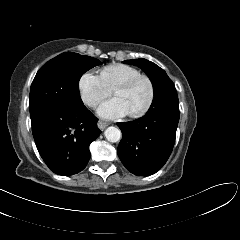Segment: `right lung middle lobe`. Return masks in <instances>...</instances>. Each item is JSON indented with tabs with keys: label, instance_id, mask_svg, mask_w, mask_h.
Masks as SVG:
<instances>
[{
	"label": "right lung middle lobe",
	"instance_id": "1",
	"mask_svg": "<svg viewBox=\"0 0 240 240\" xmlns=\"http://www.w3.org/2000/svg\"><path fill=\"white\" fill-rule=\"evenodd\" d=\"M99 60L66 52L48 61L36 74L30 90V116L35 118L54 108H77L83 105L79 79Z\"/></svg>",
	"mask_w": 240,
	"mask_h": 240
}]
</instances>
